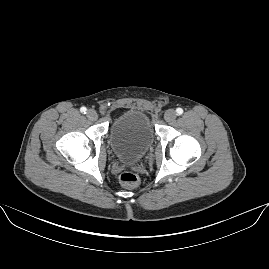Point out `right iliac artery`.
I'll list each match as a JSON object with an SVG mask.
<instances>
[{"label":"right iliac artery","mask_w":269,"mask_h":269,"mask_svg":"<svg viewBox=\"0 0 269 269\" xmlns=\"http://www.w3.org/2000/svg\"><path fill=\"white\" fill-rule=\"evenodd\" d=\"M80 111H81L82 113L86 114L87 109H86V107H81V108H80Z\"/></svg>","instance_id":"82829eb1"}]
</instances>
